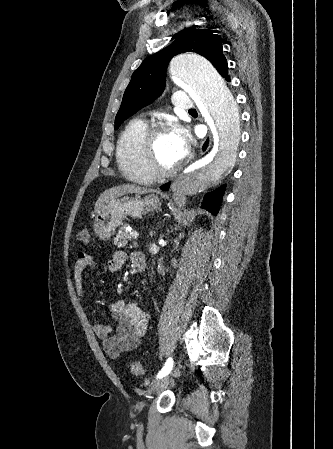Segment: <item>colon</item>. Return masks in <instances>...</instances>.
<instances>
[{
	"label": "colon",
	"instance_id": "colon-1",
	"mask_svg": "<svg viewBox=\"0 0 333 449\" xmlns=\"http://www.w3.org/2000/svg\"><path fill=\"white\" fill-rule=\"evenodd\" d=\"M78 240L87 244L90 241V230L88 228L81 229L78 234ZM130 368L131 372L136 376H140L143 373V366L138 361L131 362Z\"/></svg>",
	"mask_w": 333,
	"mask_h": 449
}]
</instances>
